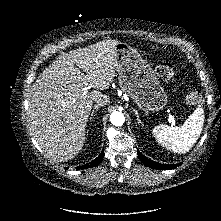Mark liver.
<instances>
[{"label":"liver","instance_id":"6515ba94","mask_svg":"<svg viewBox=\"0 0 221 221\" xmlns=\"http://www.w3.org/2000/svg\"><path fill=\"white\" fill-rule=\"evenodd\" d=\"M117 43L104 40L62 52L32 85L28 98L31 132L53 160L67 161L82 149L94 98L101 94L97 90L84 92L82 87L109 88L117 71Z\"/></svg>","mask_w":221,"mask_h":221}]
</instances>
